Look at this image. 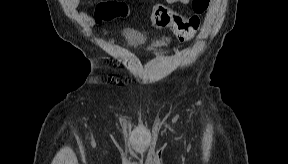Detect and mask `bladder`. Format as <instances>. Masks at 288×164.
I'll list each match as a JSON object with an SVG mask.
<instances>
[{"instance_id":"obj_1","label":"bladder","mask_w":288,"mask_h":164,"mask_svg":"<svg viewBox=\"0 0 288 164\" xmlns=\"http://www.w3.org/2000/svg\"><path fill=\"white\" fill-rule=\"evenodd\" d=\"M129 42L132 44H139V43H144V40L138 39V38H134V37H130L129 38Z\"/></svg>"}]
</instances>
